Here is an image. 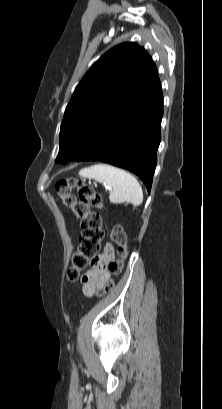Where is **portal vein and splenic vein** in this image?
Returning a JSON list of instances; mask_svg holds the SVG:
<instances>
[{
	"mask_svg": "<svg viewBox=\"0 0 222 409\" xmlns=\"http://www.w3.org/2000/svg\"><path fill=\"white\" fill-rule=\"evenodd\" d=\"M106 189H108V190H111V187H109V186H106Z\"/></svg>",
	"mask_w": 222,
	"mask_h": 409,
	"instance_id": "18ae733b",
	"label": "portal vein and splenic vein"
}]
</instances>
